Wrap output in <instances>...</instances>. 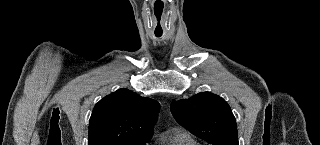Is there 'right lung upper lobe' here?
<instances>
[{
	"instance_id": "cb5924a9",
	"label": "right lung upper lobe",
	"mask_w": 320,
	"mask_h": 145,
	"mask_svg": "<svg viewBox=\"0 0 320 145\" xmlns=\"http://www.w3.org/2000/svg\"><path fill=\"white\" fill-rule=\"evenodd\" d=\"M159 108L157 101L125 88L107 95L93 109L88 145L145 144L152 137Z\"/></svg>"
}]
</instances>
